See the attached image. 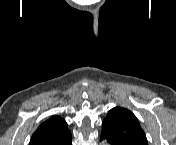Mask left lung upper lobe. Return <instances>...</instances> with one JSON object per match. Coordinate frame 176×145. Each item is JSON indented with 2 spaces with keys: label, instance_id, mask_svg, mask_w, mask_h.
I'll list each match as a JSON object with an SVG mask.
<instances>
[{
  "label": "left lung upper lobe",
  "instance_id": "5c2ea615",
  "mask_svg": "<svg viewBox=\"0 0 176 145\" xmlns=\"http://www.w3.org/2000/svg\"><path fill=\"white\" fill-rule=\"evenodd\" d=\"M102 125L101 138L112 145H148L136 116L127 109H111Z\"/></svg>",
  "mask_w": 176,
  "mask_h": 145
}]
</instances>
